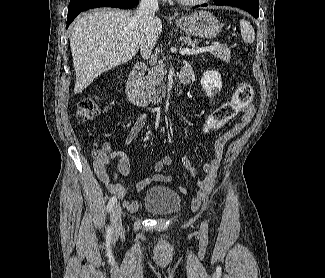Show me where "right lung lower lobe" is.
<instances>
[{"label":"right lung lower lobe","mask_w":325,"mask_h":278,"mask_svg":"<svg viewBox=\"0 0 325 278\" xmlns=\"http://www.w3.org/2000/svg\"><path fill=\"white\" fill-rule=\"evenodd\" d=\"M138 2L139 0H70L66 28L80 12L87 9L104 6L127 9L136 6Z\"/></svg>","instance_id":"obj_1"}]
</instances>
